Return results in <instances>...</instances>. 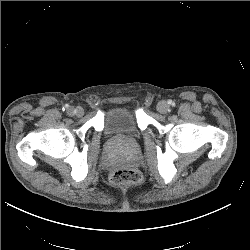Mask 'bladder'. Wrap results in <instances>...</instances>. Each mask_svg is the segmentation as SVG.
I'll return each mask as SVG.
<instances>
[{
	"instance_id": "obj_1",
	"label": "bladder",
	"mask_w": 250,
	"mask_h": 250,
	"mask_svg": "<svg viewBox=\"0 0 250 250\" xmlns=\"http://www.w3.org/2000/svg\"><path fill=\"white\" fill-rule=\"evenodd\" d=\"M103 133L109 137L122 134L137 135L139 131L136 112L124 105L109 108L104 114Z\"/></svg>"
}]
</instances>
